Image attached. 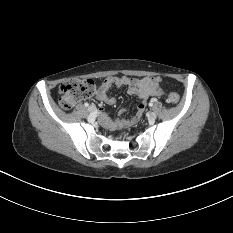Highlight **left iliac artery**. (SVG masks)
Here are the masks:
<instances>
[{
  "label": "left iliac artery",
  "instance_id": "44dca946",
  "mask_svg": "<svg viewBox=\"0 0 233 233\" xmlns=\"http://www.w3.org/2000/svg\"><path fill=\"white\" fill-rule=\"evenodd\" d=\"M149 106H150V107H152V106H153V101H151V102L149 103Z\"/></svg>",
  "mask_w": 233,
  "mask_h": 233
}]
</instances>
